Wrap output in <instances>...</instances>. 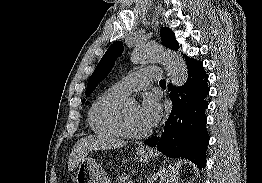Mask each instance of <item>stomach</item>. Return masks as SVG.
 Returning <instances> with one entry per match:
<instances>
[{"label": "stomach", "mask_w": 262, "mask_h": 183, "mask_svg": "<svg viewBox=\"0 0 262 183\" xmlns=\"http://www.w3.org/2000/svg\"><path fill=\"white\" fill-rule=\"evenodd\" d=\"M135 156L138 161L146 163L151 159L152 152L140 148L136 150ZM75 183H111V180L95 159L85 157L77 166Z\"/></svg>", "instance_id": "0dacf381"}]
</instances>
